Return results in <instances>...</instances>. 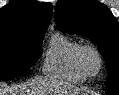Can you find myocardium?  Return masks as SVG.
I'll return each instance as SVG.
<instances>
[{"instance_id": "1", "label": "myocardium", "mask_w": 119, "mask_h": 95, "mask_svg": "<svg viewBox=\"0 0 119 95\" xmlns=\"http://www.w3.org/2000/svg\"><path fill=\"white\" fill-rule=\"evenodd\" d=\"M88 53L94 54L98 60V68L95 71L89 69L86 63V55ZM77 63L82 72L87 76H96L98 75L103 68V57L97 47L91 44L81 45L77 52Z\"/></svg>"}]
</instances>
